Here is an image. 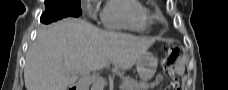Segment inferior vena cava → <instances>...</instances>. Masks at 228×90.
Returning a JSON list of instances; mask_svg holds the SVG:
<instances>
[{
  "instance_id": "602c4592",
  "label": "inferior vena cava",
  "mask_w": 228,
  "mask_h": 90,
  "mask_svg": "<svg viewBox=\"0 0 228 90\" xmlns=\"http://www.w3.org/2000/svg\"><path fill=\"white\" fill-rule=\"evenodd\" d=\"M78 90H88V82L84 79H81L78 82Z\"/></svg>"
}]
</instances>
